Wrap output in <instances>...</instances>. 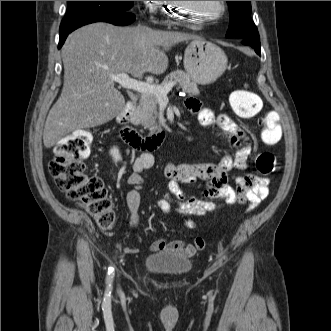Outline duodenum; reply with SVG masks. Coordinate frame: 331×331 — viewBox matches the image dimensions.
Masks as SVG:
<instances>
[{"mask_svg": "<svg viewBox=\"0 0 331 331\" xmlns=\"http://www.w3.org/2000/svg\"><path fill=\"white\" fill-rule=\"evenodd\" d=\"M135 106L136 100L130 99L117 117L120 124L119 135L121 139L135 151L157 148L165 138V130L161 129L147 137L142 136L131 124V116Z\"/></svg>", "mask_w": 331, "mask_h": 331, "instance_id": "obj_1", "label": "duodenum"}]
</instances>
